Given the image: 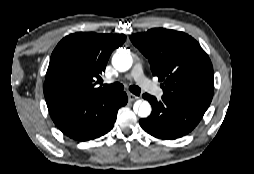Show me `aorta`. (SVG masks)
Segmentation results:
<instances>
[{
  "instance_id": "obj_1",
  "label": "aorta",
  "mask_w": 254,
  "mask_h": 174,
  "mask_svg": "<svg viewBox=\"0 0 254 174\" xmlns=\"http://www.w3.org/2000/svg\"><path fill=\"white\" fill-rule=\"evenodd\" d=\"M132 57L126 52H117L112 57V65L114 68L120 72H125L129 70L132 66ZM138 116L141 118H146L151 113V105L147 101H143L138 108Z\"/></svg>"
}]
</instances>
